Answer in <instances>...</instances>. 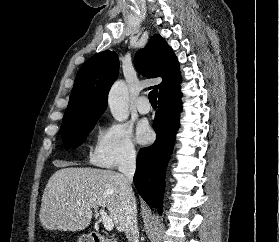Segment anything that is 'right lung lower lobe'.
Wrapping results in <instances>:
<instances>
[{
	"mask_svg": "<svg viewBox=\"0 0 279 242\" xmlns=\"http://www.w3.org/2000/svg\"><path fill=\"white\" fill-rule=\"evenodd\" d=\"M182 93L180 89L158 100L153 128L157 134L153 145L141 148L136 162L134 184L138 193L158 212H162L165 171L179 127Z\"/></svg>",
	"mask_w": 279,
	"mask_h": 242,
	"instance_id": "98d812e1",
	"label": "right lung lower lobe"
}]
</instances>
